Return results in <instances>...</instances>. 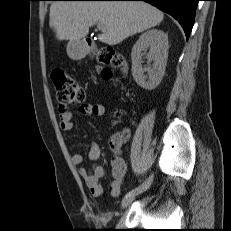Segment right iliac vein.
Instances as JSON below:
<instances>
[{"instance_id":"right-iliac-vein-1","label":"right iliac vein","mask_w":231,"mask_h":231,"mask_svg":"<svg viewBox=\"0 0 231 231\" xmlns=\"http://www.w3.org/2000/svg\"><path fill=\"white\" fill-rule=\"evenodd\" d=\"M152 182H153V175H150V176L146 179V181L143 182V183L139 186L138 190H137L135 193H133V194H131V195H127V196L123 199V201H122V203H121V208L124 209V208H126L127 206H129V205L131 204V202L135 199V197H137L138 195H140L141 193H143L144 191H146V190L151 186Z\"/></svg>"}]
</instances>
